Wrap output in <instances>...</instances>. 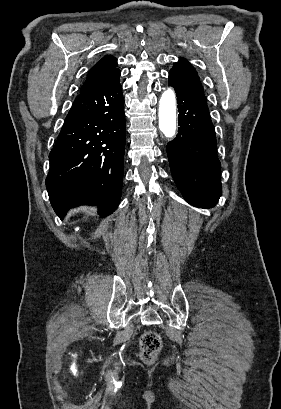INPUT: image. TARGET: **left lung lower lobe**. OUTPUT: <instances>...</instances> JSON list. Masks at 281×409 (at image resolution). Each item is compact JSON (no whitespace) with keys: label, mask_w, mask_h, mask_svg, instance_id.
Masks as SVG:
<instances>
[{"label":"left lung lower lobe","mask_w":281,"mask_h":409,"mask_svg":"<svg viewBox=\"0 0 281 409\" xmlns=\"http://www.w3.org/2000/svg\"><path fill=\"white\" fill-rule=\"evenodd\" d=\"M169 85L177 95L180 126L166 148L172 177L189 204L213 207L222 192L220 162L204 91L174 70L169 72Z\"/></svg>","instance_id":"obj_1"}]
</instances>
